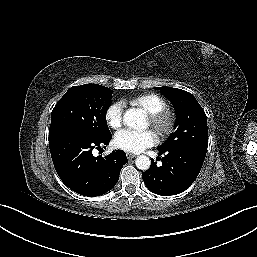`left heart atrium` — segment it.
Returning <instances> with one entry per match:
<instances>
[{"mask_svg":"<svg viewBox=\"0 0 257 257\" xmlns=\"http://www.w3.org/2000/svg\"><path fill=\"white\" fill-rule=\"evenodd\" d=\"M157 135L151 131H135L124 129L119 131L114 137V144L117 148L130 153H139L146 148L156 145Z\"/></svg>","mask_w":257,"mask_h":257,"instance_id":"left-heart-atrium-1","label":"left heart atrium"}]
</instances>
